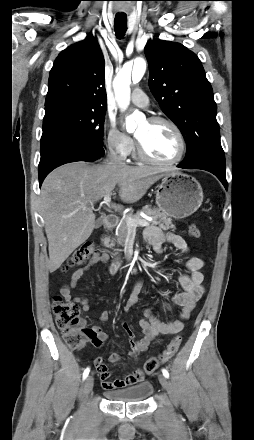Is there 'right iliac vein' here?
<instances>
[{
  "label": "right iliac vein",
  "instance_id": "1",
  "mask_svg": "<svg viewBox=\"0 0 254 440\" xmlns=\"http://www.w3.org/2000/svg\"><path fill=\"white\" fill-rule=\"evenodd\" d=\"M94 384V379L92 376H88L86 380L84 381L82 392L83 395L86 397L92 390Z\"/></svg>",
  "mask_w": 254,
  "mask_h": 440
}]
</instances>
